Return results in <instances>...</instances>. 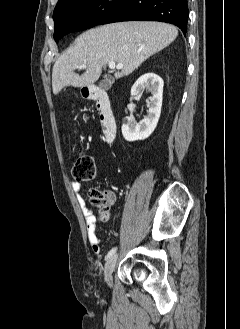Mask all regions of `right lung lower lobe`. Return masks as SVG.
<instances>
[{
    "label": "right lung lower lobe",
    "mask_w": 240,
    "mask_h": 329,
    "mask_svg": "<svg viewBox=\"0 0 240 329\" xmlns=\"http://www.w3.org/2000/svg\"><path fill=\"white\" fill-rule=\"evenodd\" d=\"M188 13L187 0H125L100 24L119 21H161L176 25L185 34Z\"/></svg>",
    "instance_id": "98d812e1"
}]
</instances>
